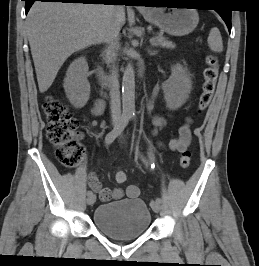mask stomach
Masks as SVG:
<instances>
[{
	"label": "stomach",
	"instance_id": "obj_1",
	"mask_svg": "<svg viewBox=\"0 0 259 266\" xmlns=\"http://www.w3.org/2000/svg\"><path fill=\"white\" fill-rule=\"evenodd\" d=\"M183 7V3H172ZM144 18L162 31L174 36L191 33L198 25L199 15L195 9L166 7L150 8L143 11Z\"/></svg>",
	"mask_w": 259,
	"mask_h": 266
}]
</instances>
